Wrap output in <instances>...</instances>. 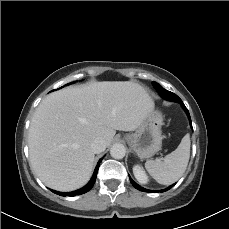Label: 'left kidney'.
<instances>
[{"label": "left kidney", "mask_w": 229, "mask_h": 229, "mask_svg": "<svg viewBox=\"0 0 229 229\" xmlns=\"http://www.w3.org/2000/svg\"><path fill=\"white\" fill-rule=\"evenodd\" d=\"M133 174L135 178L142 184L148 183V176L146 175L145 171L142 169L141 166L135 165L133 167Z\"/></svg>", "instance_id": "obj_1"}]
</instances>
